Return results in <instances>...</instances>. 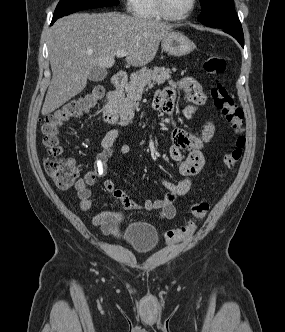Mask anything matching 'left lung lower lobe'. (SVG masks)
I'll list each match as a JSON object with an SVG mask.
<instances>
[{
  "label": "left lung lower lobe",
  "instance_id": "left-lung-lower-lobe-1",
  "mask_svg": "<svg viewBox=\"0 0 285 332\" xmlns=\"http://www.w3.org/2000/svg\"><path fill=\"white\" fill-rule=\"evenodd\" d=\"M222 29L224 32L230 34L233 36L242 47H244V36H243V30L241 26L237 27H217Z\"/></svg>",
  "mask_w": 285,
  "mask_h": 332
}]
</instances>
